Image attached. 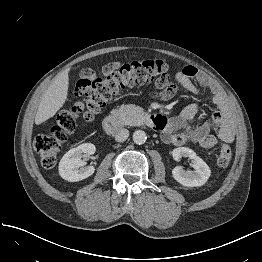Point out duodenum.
Segmentation results:
<instances>
[{"label":"duodenum","instance_id":"410a0bca","mask_svg":"<svg viewBox=\"0 0 262 262\" xmlns=\"http://www.w3.org/2000/svg\"><path fill=\"white\" fill-rule=\"evenodd\" d=\"M162 122H163L162 118L159 119L153 118L148 121V125L156 128ZM121 127H122V123L119 120V118L116 116H107L103 120V129L107 133H111V134L116 133L118 130H120Z\"/></svg>","mask_w":262,"mask_h":262}]
</instances>
